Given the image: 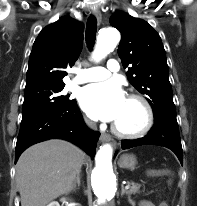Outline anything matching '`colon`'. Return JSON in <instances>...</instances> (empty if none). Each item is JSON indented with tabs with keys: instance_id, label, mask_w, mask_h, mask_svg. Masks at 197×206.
Masks as SVG:
<instances>
[{
	"instance_id": "colon-1",
	"label": "colon",
	"mask_w": 197,
	"mask_h": 206,
	"mask_svg": "<svg viewBox=\"0 0 197 206\" xmlns=\"http://www.w3.org/2000/svg\"><path fill=\"white\" fill-rule=\"evenodd\" d=\"M161 206H168L166 203H162Z\"/></svg>"
}]
</instances>
